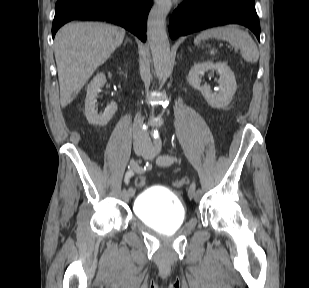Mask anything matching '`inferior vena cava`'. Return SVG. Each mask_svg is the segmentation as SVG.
<instances>
[{
  "label": "inferior vena cava",
  "mask_w": 309,
  "mask_h": 288,
  "mask_svg": "<svg viewBox=\"0 0 309 288\" xmlns=\"http://www.w3.org/2000/svg\"><path fill=\"white\" fill-rule=\"evenodd\" d=\"M142 123L140 120V115L137 114L134 120V130H133V139L134 143L137 144H149L150 138L146 131L142 130Z\"/></svg>",
  "instance_id": "1"
}]
</instances>
